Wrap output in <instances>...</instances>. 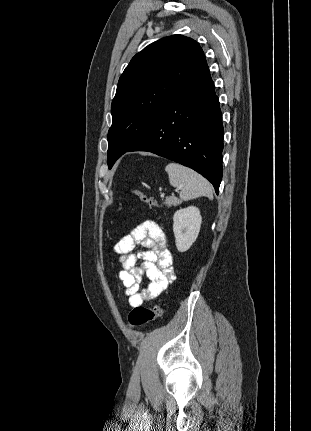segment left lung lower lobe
<instances>
[{
	"label": "left lung lower lobe",
	"mask_w": 311,
	"mask_h": 431,
	"mask_svg": "<svg viewBox=\"0 0 311 431\" xmlns=\"http://www.w3.org/2000/svg\"><path fill=\"white\" fill-rule=\"evenodd\" d=\"M224 130L206 60L163 107L144 137L126 152L148 151L197 171L218 194Z\"/></svg>",
	"instance_id": "1"
}]
</instances>
